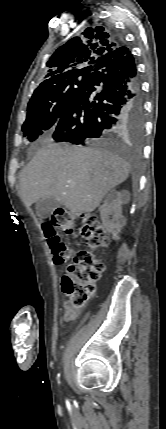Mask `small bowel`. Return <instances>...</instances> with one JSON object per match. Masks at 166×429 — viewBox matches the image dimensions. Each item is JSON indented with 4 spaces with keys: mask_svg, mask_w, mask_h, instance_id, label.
<instances>
[{
    "mask_svg": "<svg viewBox=\"0 0 166 429\" xmlns=\"http://www.w3.org/2000/svg\"><path fill=\"white\" fill-rule=\"evenodd\" d=\"M78 313V308L73 307L71 304L68 303L64 304L63 320L71 321L77 317Z\"/></svg>",
    "mask_w": 166,
    "mask_h": 429,
    "instance_id": "obj_1",
    "label": "small bowel"
}]
</instances>
